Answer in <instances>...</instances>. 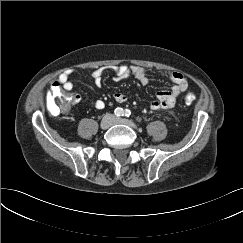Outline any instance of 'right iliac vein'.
<instances>
[{
  "mask_svg": "<svg viewBox=\"0 0 243 243\" xmlns=\"http://www.w3.org/2000/svg\"><path fill=\"white\" fill-rule=\"evenodd\" d=\"M113 123V118L110 115H106L100 122V127L102 129H108Z\"/></svg>",
  "mask_w": 243,
  "mask_h": 243,
  "instance_id": "obj_1",
  "label": "right iliac vein"
}]
</instances>
